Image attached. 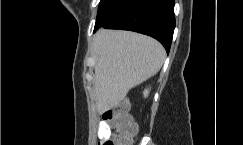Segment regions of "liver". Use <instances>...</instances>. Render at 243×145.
<instances>
[{
	"label": "liver",
	"instance_id": "1",
	"mask_svg": "<svg viewBox=\"0 0 243 145\" xmlns=\"http://www.w3.org/2000/svg\"><path fill=\"white\" fill-rule=\"evenodd\" d=\"M96 106L117 107L130 89L155 75L166 53L155 39L129 31L100 29L94 38Z\"/></svg>",
	"mask_w": 243,
	"mask_h": 145
}]
</instances>
